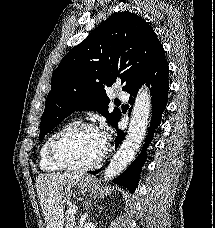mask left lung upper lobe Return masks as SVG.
Returning a JSON list of instances; mask_svg holds the SVG:
<instances>
[{"instance_id":"1","label":"left lung upper lobe","mask_w":215,"mask_h":228,"mask_svg":"<svg viewBox=\"0 0 215 228\" xmlns=\"http://www.w3.org/2000/svg\"><path fill=\"white\" fill-rule=\"evenodd\" d=\"M153 28L131 12L111 15L84 41L72 48L53 72L39 139L74 111H97L116 127L121 113L108 111L104 85L116 78L129 92L162 49Z\"/></svg>"}]
</instances>
